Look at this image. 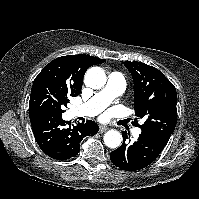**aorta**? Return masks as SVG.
<instances>
[{
	"instance_id": "obj_1",
	"label": "aorta",
	"mask_w": 199,
	"mask_h": 199,
	"mask_svg": "<svg viewBox=\"0 0 199 199\" xmlns=\"http://www.w3.org/2000/svg\"><path fill=\"white\" fill-rule=\"evenodd\" d=\"M84 81L92 89H101L107 78L102 68L92 67L86 72ZM103 139L105 145L110 148H118L122 143V135L116 130L106 132Z\"/></svg>"
}]
</instances>
